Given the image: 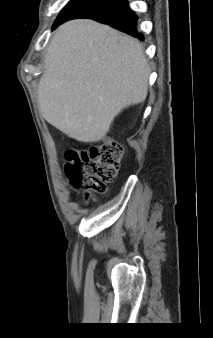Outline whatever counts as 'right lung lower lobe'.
Listing matches in <instances>:
<instances>
[{
  "instance_id": "obj_1",
  "label": "right lung lower lobe",
  "mask_w": 213,
  "mask_h": 338,
  "mask_svg": "<svg viewBox=\"0 0 213 338\" xmlns=\"http://www.w3.org/2000/svg\"><path fill=\"white\" fill-rule=\"evenodd\" d=\"M77 18H90L108 24L139 40L144 39L137 30L138 16L130 9L127 0H93L75 10L62 23Z\"/></svg>"
}]
</instances>
